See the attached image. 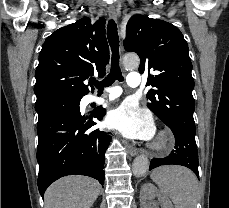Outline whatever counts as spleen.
I'll list each match as a JSON object with an SVG mask.
<instances>
[{
	"mask_svg": "<svg viewBox=\"0 0 229 208\" xmlns=\"http://www.w3.org/2000/svg\"><path fill=\"white\" fill-rule=\"evenodd\" d=\"M151 180L168 196L175 208H196L200 200L198 180L183 166H160L151 174Z\"/></svg>",
	"mask_w": 229,
	"mask_h": 208,
	"instance_id": "spleen-1",
	"label": "spleen"
}]
</instances>
